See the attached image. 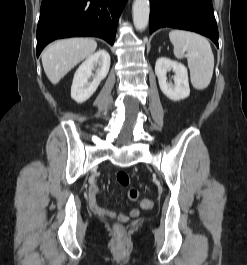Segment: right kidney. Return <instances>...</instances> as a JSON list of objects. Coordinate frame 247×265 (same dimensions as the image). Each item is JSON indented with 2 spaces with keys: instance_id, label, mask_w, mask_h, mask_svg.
<instances>
[{
  "instance_id": "obj_1",
  "label": "right kidney",
  "mask_w": 247,
  "mask_h": 265,
  "mask_svg": "<svg viewBox=\"0 0 247 265\" xmlns=\"http://www.w3.org/2000/svg\"><path fill=\"white\" fill-rule=\"evenodd\" d=\"M110 68V55L101 49L89 56L74 74L71 86V97L77 103L88 100L97 90L100 82L106 78ZM96 70L94 76L93 71ZM91 76L93 80L90 81Z\"/></svg>"
}]
</instances>
